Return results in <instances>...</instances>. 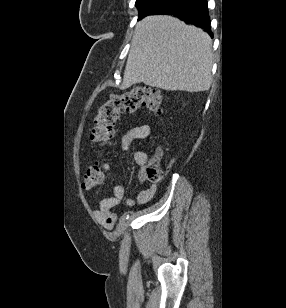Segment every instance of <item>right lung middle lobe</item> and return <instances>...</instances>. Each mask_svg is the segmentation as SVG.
I'll list each match as a JSON object with an SVG mask.
<instances>
[{"label": "right lung middle lobe", "mask_w": 286, "mask_h": 308, "mask_svg": "<svg viewBox=\"0 0 286 308\" xmlns=\"http://www.w3.org/2000/svg\"><path fill=\"white\" fill-rule=\"evenodd\" d=\"M170 0H137L135 5L139 10V18L149 15L156 9L163 7Z\"/></svg>", "instance_id": "obj_1"}]
</instances>
